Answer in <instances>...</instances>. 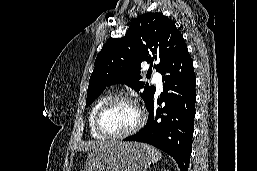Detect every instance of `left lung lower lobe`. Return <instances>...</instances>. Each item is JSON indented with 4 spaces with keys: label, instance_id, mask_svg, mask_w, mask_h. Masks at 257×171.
Returning <instances> with one entry per match:
<instances>
[{
    "label": "left lung lower lobe",
    "instance_id": "left-lung-lower-lobe-1",
    "mask_svg": "<svg viewBox=\"0 0 257 171\" xmlns=\"http://www.w3.org/2000/svg\"><path fill=\"white\" fill-rule=\"evenodd\" d=\"M163 93L155 106L153 97L146 104L149 118L145 127L124 141L151 144L177 162L181 171H188L195 116V73L187 47L172 53L160 72ZM154 96V95H153Z\"/></svg>",
    "mask_w": 257,
    "mask_h": 171
}]
</instances>
